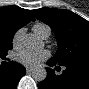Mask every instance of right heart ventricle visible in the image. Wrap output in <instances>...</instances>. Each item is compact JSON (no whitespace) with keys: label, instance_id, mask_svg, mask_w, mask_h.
<instances>
[{"label":"right heart ventricle","instance_id":"1","mask_svg":"<svg viewBox=\"0 0 89 89\" xmlns=\"http://www.w3.org/2000/svg\"><path fill=\"white\" fill-rule=\"evenodd\" d=\"M46 30H50V28L43 24V23H37L34 25L33 27V31L35 32V34H37L39 37H41V35L46 31Z\"/></svg>","mask_w":89,"mask_h":89}]
</instances>
